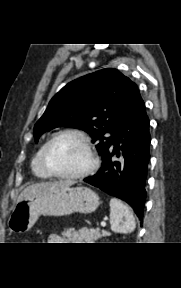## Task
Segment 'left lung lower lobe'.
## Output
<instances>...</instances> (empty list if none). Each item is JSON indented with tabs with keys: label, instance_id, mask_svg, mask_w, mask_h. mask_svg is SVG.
<instances>
[{
	"label": "left lung lower lobe",
	"instance_id": "left-lung-lower-lobe-1",
	"mask_svg": "<svg viewBox=\"0 0 181 288\" xmlns=\"http://www.w3.org/2000/svg\"><path fill=\"white\" fill-rule=\"evenodd\" d=\"M150 141L149 118L138 92L110 149L102 156V167L95 175L84 179L127 202L141 222L146 200L145 182L150 160ZM114 155L118 158L122 156L123 160L113 161Z\"/></svg>",
	"mask_w": 181,
	"mask_h": 288
}]
</instances>
